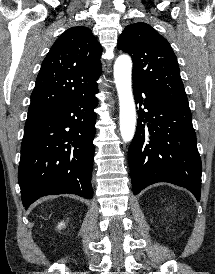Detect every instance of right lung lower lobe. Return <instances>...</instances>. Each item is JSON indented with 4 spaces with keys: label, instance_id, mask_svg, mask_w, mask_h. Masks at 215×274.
Listing matches in <instances>:
<instances>
[{
    "label": "right lung lower lobe",
    "instance_id": "1",
    "mask_svg": "<svg viewBox=\"0 0 215 274\" xmlns=\"http://www.w3.org/2000/svg\"><path fill=\"white\" fill-rule=\"evenodd\" d=\"M97 84L25 126L18 181L23 206L45 195L91 199Z\"/></svg>",
    "mask_w": 215,
    "mask_h": 274
}]
</instances>
